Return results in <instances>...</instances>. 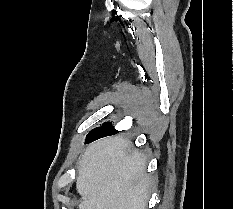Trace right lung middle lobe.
<instances>
[{
	"mask_svg": "<svg viewBox=\"0 0 233 209\" xmlns=\"http://www.w3.org/2000/svg\"><path fill=\"white\" fill-rule=\"evenodd\" d=\"M108 128H111V123H110V122L106 123V124L103 125L102 127H98V128L93 129V130L89 133V135H88L87 137H89V136H90L92 133H94V132L102 131V130L108 129Z\"/></svg>",
	"mask_w": 233,
	"mask_h": 209,
	"instance_id": "obj_1",
	"label": "right lung middle lobe"
}]
</instances>
